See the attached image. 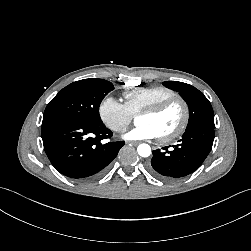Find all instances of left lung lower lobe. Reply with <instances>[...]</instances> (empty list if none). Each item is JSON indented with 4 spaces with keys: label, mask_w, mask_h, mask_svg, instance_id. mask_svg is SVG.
<instances>
[{
    "label": "left lung lower lobe",
    "mask_w": 251,
    "mask_h": 251,
    "mask_svg": "<svg viewBox=\"0 0 251 251\" xmlns=\"http://www.w3.org/2000/svg\"><path fill=\"white\" fill-rule=\"evenodd\" d=\"M214 126L197 125L186 129L179 144L153 151L148 170L155 177L172 181L197 170L212 149Z\"/></svg>",
    "instance_id": "1"
}]
</instances>
